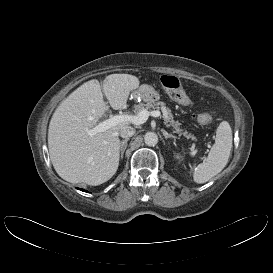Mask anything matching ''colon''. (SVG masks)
Here are the masks:
<instances>
[{
  "label": "colon",
  "mask_w": 273,
  "mask_h": 273,
  "mask_svg": "<svg viewBox=\"0 0 273 273\" xmlns=\"http://www.w3.org/2000/svg\"><path fill=\"white\" fill-rule=\"evenodd\" d=\"M161 82L166 89H168L172 95V97L181 104H189L190 97L186 93V91L182 88L180 81L177 77L173 75H164L161 78ZM197 120L201 124H210L213 121L211 115L202 113L199 114Z\"/></svg>",
  "instance_id": "1"
}]
</instances>
